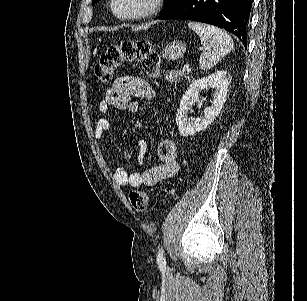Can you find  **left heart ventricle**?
Returning <instances> with one entry per match:
<instances>
[{"instance_id": "left-heart-ventricle-1", "label": "left heart ventricle", "mask_w": 307, "mask_h": 301, "mask_svg": "<svg viewBox=\"0 0 307 301\" xmlns=\"http://www.w3.org/2000/svg\"><path fill=\"white\" fill-rule=\"evenodd\" d=\"M149 0H122L124 4V9L126 11H139V13L145 8ZM131 3V4H130ZM120 11H123V8H120Z\"/></svg>"}]
</instances>
